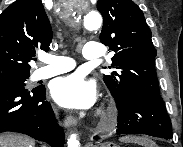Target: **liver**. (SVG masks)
Returning a JSON list of instances; mask_svg holds the SVG:
<instances>
[{
  "mask_svg": "<svg viewBox=\"0 0 183 147\" xmlns=\"http://www.w3.org/2000/svg\"><path fill=\"white\" fill-rule=\"evenodd\" d=\"M0 147H35V142L27 136L5 133L0 135Z\"/></svg>",
  "mask_w": 183,
  "mask_h": 147,
  "instance_id": "1",
  "label": "liver"
}]
</instances>
